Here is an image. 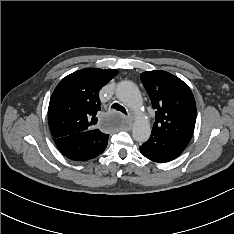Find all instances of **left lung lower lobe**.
Masks as SVG:
<instances>
[{
    "label": "left lung lower lobe",
    "instance_id": "obj_1",
    "mask_svg": "<svg viewBox=\"0 0 234 234\" xmlns=\"http://www.w3.org/2000/svg\"><path fill=\"white\" fill-rule=\"evenodd\" d=\"M184 149L158 133H151L147 142L140 146V152L151 161L158 163L169 162L177 158Z\"/></svg>",
    "mask_w": 234,
    "mask_h": 234
}]
</instances>
